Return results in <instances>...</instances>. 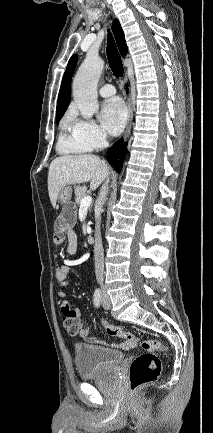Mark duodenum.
Wrapping results in <instances>:
<instances>
[{
  "instance_id": "obj_1",
  "label": "duodenum",
  "mask_w": 213,
  "mask_h": 433,
  "mask_svg": "<svg viewBox=\"0 0 213 433\" xmlns=\"http://www.w3.org/2000/svg\"><path fill=\"white\" fill-rule=\"evenodd\" d=\"M88 243L89 244H94L95 243V238L93 236H89L88 237Z\"/></svg>"
}]
</instances>
